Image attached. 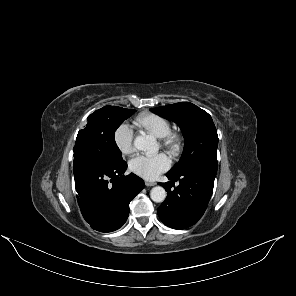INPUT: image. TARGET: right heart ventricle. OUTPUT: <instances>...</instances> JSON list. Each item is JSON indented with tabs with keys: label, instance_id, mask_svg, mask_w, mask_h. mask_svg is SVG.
I'll return each mask as SVG.
<instances>
[{
	"label": "right heart ventricle",
	"instance_id": "right-heart-ventricle-1",
	"mask_svg": "<svg viewBox=\"0 0 296 296\" xmlns=\"http://www.w3.org/2000/svg\"><path fill=\"white\" fill-rule=\"evenodd\" d=\"M134 123L143 131L159 139L171 131L169 120L155 113H142L135 118Z\"/></svg>",
	"mask_w": 296,
	"mask_h": 296
}]
</instances>
